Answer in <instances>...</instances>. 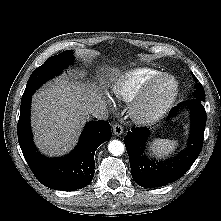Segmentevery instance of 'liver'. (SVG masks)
Listing matches in <instances>:
<instances>
[{
	"instance_id": "1",
	"label": "liver",
	"mask_w": 221,
	"mask_h": 221,
	"mask_svg": "<svg viewBox=\"0 0 221 221\" xmlns=\"http://www.w3.org/2000/svg\"><path fill=\"white\" fill-rule=\"evenodd\" d=\"M104 103L99 88L65 75L44 85L32 100L34 139L44 154L59 156L77 143L92 105Z\"/></svg>"
}]
</instances>
